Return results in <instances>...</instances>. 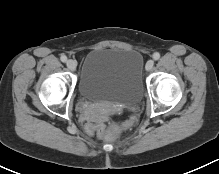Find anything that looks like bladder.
Instances as JSON below:
<instances>
[{"label":"bladder","mask_w":219,"mask_h":174,"mask_svg":"<svg viewBox=\"0 0 219 174\" xmlns=\"http://www.w3.org/2000/svg\"><path fill=\"white\" fill-rule=\"evenodd\" d=\"M143 58L131 48H96L83 58L78 93L91 102L136 106L143 95Z\"/></svg>","instance_id":"obj_1"}]
</instances>
